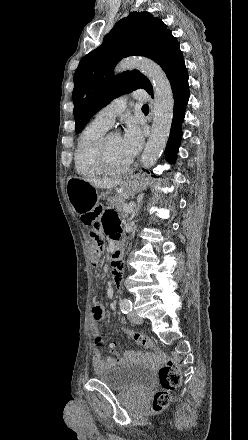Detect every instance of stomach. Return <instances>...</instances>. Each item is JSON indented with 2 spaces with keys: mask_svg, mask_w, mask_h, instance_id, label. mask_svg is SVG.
Instances as JSON below:
<instances>
[{
  "mask_svg": "<svg viewBox=\"0 0 248 440\" xmlns=\"http://www.w3.org/2000/svg\"><path fill=\"white\" fill-rule=\"evenodd\" d=\"M148 182L137 176H128L119 184L122 197L134 196L146 189ZM69 202L74 211L81 213L99 199L97 188L80 178H70L66 184Z\"/></svg>",
  "mask_w": 248,
  "mask_h": 440,
  "instance_id": "stomach-1",
  "label": "stomach"
}]
</instances>
